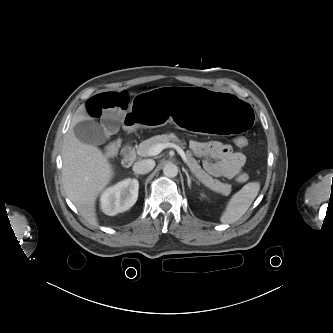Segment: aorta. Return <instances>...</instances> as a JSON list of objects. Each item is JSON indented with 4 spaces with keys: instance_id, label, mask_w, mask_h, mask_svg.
<instances>
[{
    "instance_id": "obj_1",
    "label": "aorta",
    "mask_w": 333,
    "mask_h": 333,
    "mask_svg": "<svg viewBox=\"0 0 333 333\" xmlns=\"http://www.w3.org/2000/svg\"><path fill=\"white\" fill-rule=\"evenodd\" d=\"M163 173L166 177L173 178L178 174V168L173 163H168L163 168Z\"/></svg>"
}]
</instances>
